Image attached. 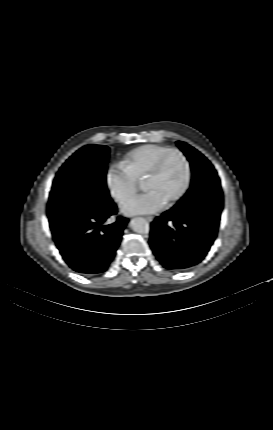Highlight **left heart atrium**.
I'll list each match as a JSON object with an SVG mask.
<instances>
[{"instance_id":"obj_1","label":"left heart atrium","mask_w":273,"mask_h":430,"mask_svg":"<svg viewBox=\"0 0 273 430\" xmlns=\"http://www.w3.org/2000/svg\"><path fill=\"white\" fill-rule=\"evenodd\" d=\"M166 202L156 191H148L130 199L122 208L126 215L152 214L162 210Z\"/></svg>"}]
</instances>
